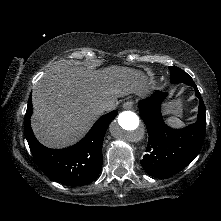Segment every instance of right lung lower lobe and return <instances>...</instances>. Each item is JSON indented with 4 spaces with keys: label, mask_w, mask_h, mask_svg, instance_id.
I'll return each mask as SVG.
<instances>
[{
    "label": "right lung lower lobe",
    "mask_w": 221,
    "mask_h": 221,
    "mask_svg": "<svg viewBox=\"0 0 221 221\" xmlns=\"http://www.w3.org/2000/svg\"><path fill=\"white\" fill-rule=\"evenodd\" d=\"M31 113L30 95L25 114V136L34 160L42 172L48 178L69 186H82L95 180L102 168L103 139L117 111L101 116L77 144L59 150L46 148L38 142L30 126Z\"/></svg>",
    "instance_id": "right-lung-lower-lobe-1"
}]
</instances>
